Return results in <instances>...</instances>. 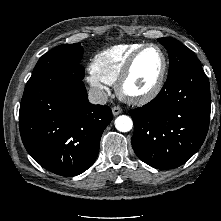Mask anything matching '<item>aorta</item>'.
<instances>
[{"label":"aorta","instance_id":"aorta-1","mask_svg":"<svg viewBox=\"0 0 221 221\" xmlns=\"http://www.w3.org/2000/svg\"><path fill=\"white\" fill-rule=\"evenodd\" d=\"M115 127L120 132H128L133 127V121L129 116L121 115L116 118Z\"/></svg>","mask_w":221,"mask_h":221}]
</instances>
